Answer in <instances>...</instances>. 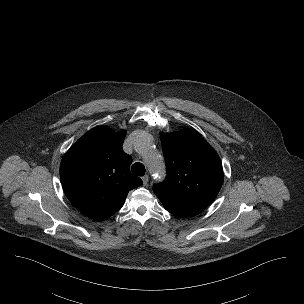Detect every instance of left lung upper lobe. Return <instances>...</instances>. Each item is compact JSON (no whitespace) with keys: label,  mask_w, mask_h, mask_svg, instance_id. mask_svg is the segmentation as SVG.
<instances>
[{"label":"left lung upper lobe","mask_w":304,"mask_h":304,"mask_svg":"<svg viewBox=\"0 0 304 304\" xmlns=\"http://www.w3.org/2000/svg\"><path fill=\"white\" fill-rule=\"evenodd\" d=\"M167 177L153 191L164 207L185 216L207 208L219 193L223 170L215 150L191 129L161 133Z\"/></svg>","instance_id":"obj_1"}]
</instances>
